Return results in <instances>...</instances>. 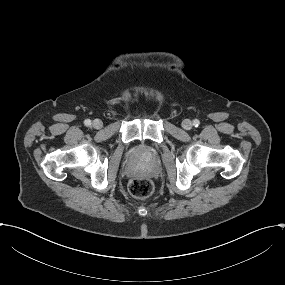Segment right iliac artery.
Returning a JSON list of instances; mask_svg holds the SVG:
<instances>
[{"mask_svg": "<svg viewBox=\"0 0 285 285\" xmlns=\"http://www.w3.org/2000/svg\"><path fill=\"white\" fill-rule=\"evenodd\" d=\"M84 124H85L86 126H90V125H91V121H90L89 119H86V120L84 121Z\"/></svg>", "mask_w": 285, "mask_h": 285, "instance_id": "obj_1", "label": "right iliac artery"}]
</instances>
